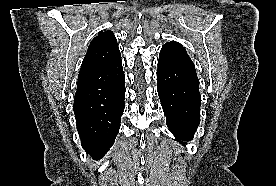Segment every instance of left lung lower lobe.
Here are the masks:
<instances>
[{"label": "left lung lower lobe", "instance_id": "0a47b994", "mask_svg": "<svg viewBox=\"0 0 276 186\" xmlns=\"http://www.w3.org/2000/svg\"><path fill=\"white\" fill-rule=\"evenodd\" d=\"M157 91L170 131L178 140H191L200 123L199 80L195 68L159 61Z\"/></svg>", "mask_w": 276, "mask_h": 186}]
</instances>
